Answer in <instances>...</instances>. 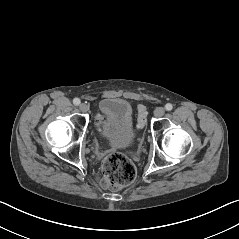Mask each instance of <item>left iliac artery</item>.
I'll return each instance as SVG.
<instances>
[{"label":"left iliac artery","instance_id":"1","mask_svg":"<svg viewBox=\"0 0 239 239\" xmlns=\"http://www.w3.org/2000/svg\"><path fill=\"white\" fill-rule=\"evenodd\" d=\"M165 109H166L167 111H171V110L173 109L172 104L167 103V104L165 105Z\"/></svg>","mask_w":239,"mask_h":239}]
</instances>
